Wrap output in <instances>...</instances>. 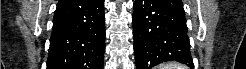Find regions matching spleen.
Returning a JSON list of instances; mask_svg holds the SVG:
<instances>
[{"label": "spleen", "mask_w": 246, "mask_h": 69, "mask_svg": "<svg viewBox=\"0 0 246 69\" xmlns=\"http://www.w3.org/2000/svg\"><path fill=\"white\" fill-rule=\"evenodd\" d=\"M158 69H187V67L185 65L170 62V63H166L162 66H159Z\"/></svg>", "instance_id": "1"}]
</instances>
